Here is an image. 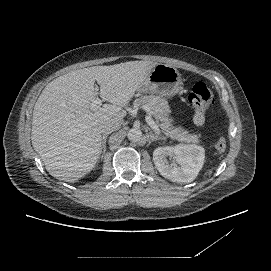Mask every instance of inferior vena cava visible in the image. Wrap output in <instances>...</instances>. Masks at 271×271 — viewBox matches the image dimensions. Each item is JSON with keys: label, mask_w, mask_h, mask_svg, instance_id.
I'll return each instance as SVG.
<instances>
[{"label": "inferior vena cava", "mask_w": 271, "mask_h": 271, "mask_svg": "<svg viewBox=\"0 0 271 271\" xmlns=\"http://www.w3.org/2000/svg\"><path fill=\"white\" fill-rule=\"evenodd\" d=\"M121 122L119 121H110L101 126L100 133L103 135H108L113 131H116L120 128Z\"/></svg>", "instance_id": "obj_1"}]
</instances>
